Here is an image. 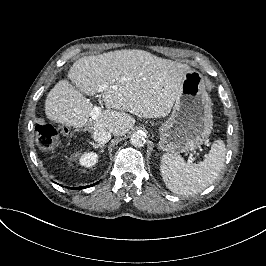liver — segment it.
Here are the masks:
<instances>
[{
	"instance_id": "obj_1",
	"label": "liver",
	"mask_w": 266,
	"mask_h": 266,
	"mask_svg": "<svg viewBox=\"0 0 266 266\" xmlns=\"http://www.w3.org/2000/svg\"><path fill=\"white\" fill-rule=\"evenodd\" d=\"M188 65L158 58L143 50H119L78 59L69 70V79L59 80L48 92L46 118L62 126L107 130L123 137L138 118L168 116L180 96ZM96 94L108 109L91 118ZM108 85V86H106ZM127 112V113H126Z\"/></svg>"
}]
</instances>
